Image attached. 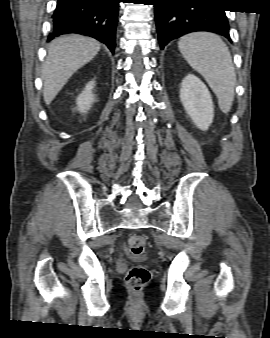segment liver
I'll use <instances>...</instances> for the list:
<instances>
[{
    "label": "liver",
    "instance_id": "1",
    "mask_svg": "<svg viewBox=\"0 0 270 338\" xmlns=\"http://www.w3.org/2000/svg\"><path fill=\"white\" fill-rule=\"evenodd\" d=\"M101 44L92 38L70 35L53 40L42 68L43 98L49 105L69 78L90 62Z\"/></svg>",
    "mask_w": 270,
    "mask_h": 338
}]
</instances>
